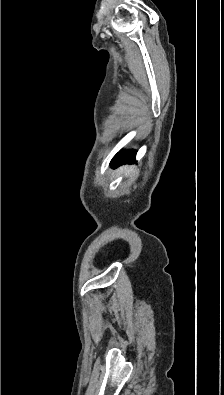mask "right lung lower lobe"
I'll return each mask as SVG.
<instances>
[{"mask_svg":"<svg viewBox=\"0 0 224 395\" xmlns=\"http://www.w3.org/2000/svg\"><path fill=\"white\" fill-rule=\"evenodd\" d=\"M136 151L130 150L125 153L117 154L111 161L112 166L117 167L124 163L135 162Z\"/></svg>","mask_w":224,"mask_h":395,"instance_id":"obj_1","label":"right lung lower lobe"}]
</instances>
